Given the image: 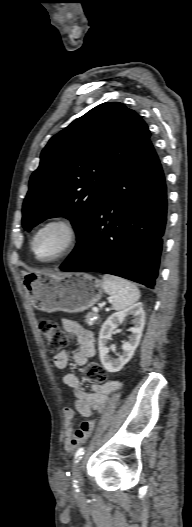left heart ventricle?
Here are the masks:
<instances>
[{
	"instance_id": "1",
	"label": "left heart ventricle",
	"mask_w": 192,
	"mask_h": 527,
	"mask_svg": "<svg viewBox=\"0 0 192 527\" xmlns=\"http://www.w3.org/2000/svg\"><path fill=\"white\" fill-rule=\"evenodd\" d=\"M67 231L61 225H51L37 237L36 252L41 258H49L57 254L67 241Z\"/></svg>"
}]
</instances>
